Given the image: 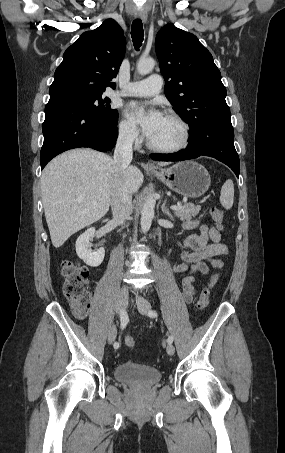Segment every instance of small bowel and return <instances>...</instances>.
<instances>
[{
    "mask_svg": "<svg viewBox=\"0 0 285 453\" xmlns=\"http://www.w3.org/2000/svg\"><path fill=\"white\" fill-rule=\"evenodd\" d=\"M185 229H198V233L188 235L184 239L185 251L181 254V262L175 264V273H184L181 287L185 302L191 303L196 295V275H207L210 271L209 264L215 268L222 269L223 262L218 258L226 255L228 249L221 242L220 232L213 226L200 224L199 221H187L183 224ZM219 274H214L210 285H214Z\"/></svg>",
    "mask_w": 285,
    "mask_h": 453,
    "instance_id": "1",
    "label": "small bowel"
}]
</instances>
